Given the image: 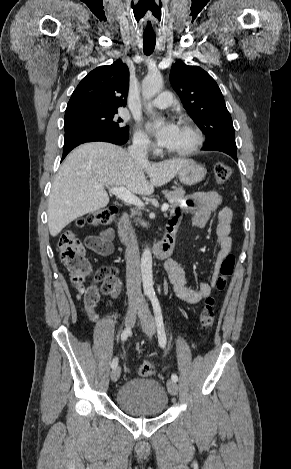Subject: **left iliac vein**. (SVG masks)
I'll use <instances>...</instances> for the list:
<instances>
[{
    "mask_svg": "<svg viewBox=\"0 0 291 469\" xmlns=\"http://www.w3.org/2000/svg\"><path fill=\"white\" fill-rule=\"evenodd\" d=\"M143 330L149 336L152 337L156 332L155 320L151 314V311L147 304H144L139 312ZM167 388L171 395H176L178 393V385L173 380L167 381Z\"/></svg>",
    "mask_w": 291,
    "mask_h": 469,
    "instance_id": "1",
    "label": "left iliac vein"
}]
</instances>
